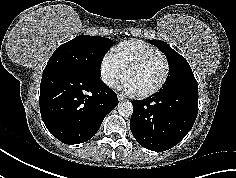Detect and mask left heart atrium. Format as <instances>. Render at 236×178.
I'll use <instances>...</instances> for the list:
<instances>
[{
    "label": "left heart atrium",
    "mask_w": 236,
    "mask_h": 178,
    "mask_svg": "<svg viewBox=\"0 0 236 178\" xmlns=\"http://www.w3.org/2000/svg\"><path fill=\"white\" fill-rule=\"evenodd\" d=\"M119 89L122 91H125L127 93H134V90L132 89V87L126 82L124 81L120 86Z\"/></svg>",
    "instance_id": "39dd6f15"
}]
</instances>
